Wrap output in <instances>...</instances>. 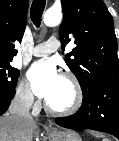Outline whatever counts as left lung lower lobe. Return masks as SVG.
<instances>
[{
	"label": "left lung lower lobe",
	"mask_w": 119,
	"mask_h": 141,
	"mask_svg": "<svg viewBox=\"0 0 119 141\" xmlns=\"http://www.w3.org/2000/svg\"><path fill=\"white\" fill-rule=\"evenodd\" d=\"M69 129L106 132L119 139V80H107L83 94V103L73 115L56 118Z\"/></svg>",
	"instance_id": "1"
}]
</instances>
